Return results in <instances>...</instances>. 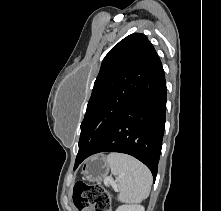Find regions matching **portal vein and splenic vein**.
Listing matches in <instances>:
<instances>
[{"mask_svg": "<svg viewBox=\"0 0 221 211\" xmlns=\"http://www.w3.org/2000/svg\"><path fill=\"white\" fill-rule=\"evenodd\" d=\"M105 184H107V185H108V182H107V181H105Z\"/></svg>", "mask_w": 221, "mask_h": 211, "instance_id": "obj_1", "label": "portal vein and splenic vein"}]
</instances>
